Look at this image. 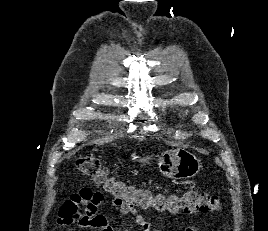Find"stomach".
<instances>
[{
	"instance_id": "0dacf381",
	"label": "stomach",
	"mask_w": 268,
	"mask_h": 231,
	"mask_svg": "<svg viewBox=\"0 0 268 231\" xmlns=\"http://www.w3.org/2000/svg\"><path fill=\"white\" fill-rule=\"evenodd\" d=\"M151 156L142 155L138 161L146 164ZM158 166L163 176L172 180L188 179L196 176L202 168L201 160L195 154L182 149H170L162 153L158 159Z\"/></svg>"
}]
</instances>
